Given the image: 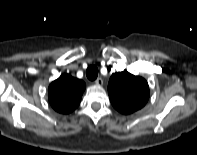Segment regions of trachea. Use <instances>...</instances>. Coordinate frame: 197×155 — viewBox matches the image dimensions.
Wrapping results in <instances>:
<instances>
[{
    "label": "trachea",
    "mask_w": 197,
    "mask_h": 155,
    "mask_svg": "<svg viewBox=\"0 0 197 155\" xmlns=\"http://www.w3.org/2000/svg\"><path fill=\"white\" fill-rule=\"evenodd\" d=\"M86 76L89 80H95L98 76V68L95 65H91L86 70Z\"/></svg>",
    "instance_id": "3493384b"
}]
</instances>
